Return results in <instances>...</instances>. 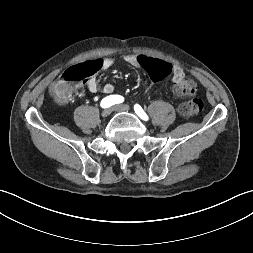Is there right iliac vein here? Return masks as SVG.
<instances>
[{
    "label": "right iliac vein",
    "instance_id": "1",
    "mask_svg": "<svg viewBox=\"0 0 253 253\" xmlns=\"http://www.w3.org/2000/svg\"><path fill=\"white\" fill-rule=\"evenodd\" d=\"M111 111H112V110H111L110 108L105 109V110L102 111L101 116H102L103 118H106V117H108V116L111 114Z\"/></svg>",
    "mask_w": 253,
    "mask_h": 253
}]
</instances>
